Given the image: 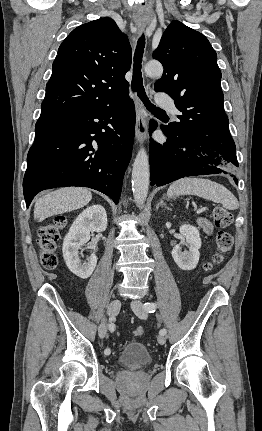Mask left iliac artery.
<instances>
[{
    "mask_svg": "<svg viewBox=\"0 0 262 431\" xmlns=\"http://www.w3.org/2000/svg\"><path fill=\"white\" fill-rule=\"evenodd\" d=\"M144 308L146 311H148L149 313H153L156 310V304L153 302H146L144 304ZM167 333L166 329H161L160 330V334L165 335Z\"/></svg>",
    "mask_w": 262,
    "mask_h": 431,
    "instance_id": "left-iliac-artery-1",
    "label": "left iliac artery"
}]
</instances>
